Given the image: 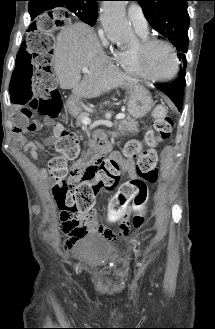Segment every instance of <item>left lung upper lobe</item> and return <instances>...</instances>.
Returning <instances> with one entry per match:
<instances>
[{
  "instance_id": "1",
  "label": "left lung upper lobe",
  "mask_w": 215,
  "mask_h": 329,
  "mask_svg": "<svg viewBox=\"0 0 215 329\" xmlns=\"http://www.w3.org/2000/svg\"><path fill=\"white\" fill-rule=\"evenodd\" d=\"M140 3L144 16L150 25L160 34L168 38L178 50V58L182 63L179 77L185 74L188 49L189 0H136Z\"/></svg>"
}]
</instances>
